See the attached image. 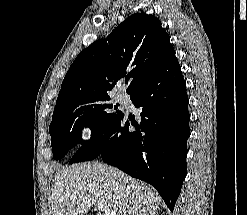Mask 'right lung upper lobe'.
Wrapping results in <instances>:
<instances>
[{
    "mask_svg": "<svg viewBox=\"0 0 247 215\" xmlns=\"http://www.w3.org/2000/svg\"><path fill=\"white\" fill-rule=\"evenodd\" d=\"M173 50L158 18L136 13L118 25L106 39L84 49L70 66L61 85L54 113L74 103L108 95L116 82L130 80L129 94L154 72Z\"/></svg>",
    "mask_w": 247,
    "mask_h": 215,
    "instance_id": "cb5924a9",
    "label": "right lung upper lobe"
}]
</instances>
